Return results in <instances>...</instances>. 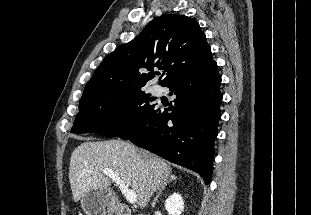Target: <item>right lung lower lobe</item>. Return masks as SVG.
Wrapping results in <instances>:
<instances>
[{"instance_id": "1", "label": "right lung lower lobe", "mask_w": 311, "mask_h": 215, "mask_svg": "<svg viewBox=\"0 0 311 215\" xmlns=\"http://www.w3.org/2000/svg\"><path fill=\"white\" fill-rule=\"evenodd\" d=\"M220 84L221 76L214 60L174 79L165 86L170 89V95L176 96L173 104L164 111L154 108L137 126L119 137L199 173L209 184L214 139L221 116Z\"/></svg>"}]
</instances>
